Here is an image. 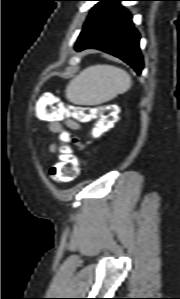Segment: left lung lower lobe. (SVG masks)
<instances>
[{
  "mask_svg": "<svg viewBox=\"0 0 180 299\" xmlns=\"http://www.w3.org/2000/svg\"><path fill=\"white\" fill-rule=\"evenodd\" d=\"M75 44L76 51L95 48L129 64L138 75L143 67L139 33L131 14L120 5L124 0H98Z\"/></svg>",
  "mask_w": 180,
  "mask_h": 299,
  "instance_id": "obj_1",
  "label": "left lung lower lobe"
}]
</instances>
